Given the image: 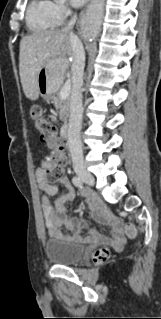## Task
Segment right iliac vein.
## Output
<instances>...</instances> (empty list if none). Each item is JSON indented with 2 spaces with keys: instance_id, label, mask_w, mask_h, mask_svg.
I'll list each match as a JSON object with an SVG mask.
<instances>
[{
  "instance_id": "obj_1",
  "label": "right iliac vein",
  "mask_w": 161,
  "mask_h": 319,
  "mask_svg": "<svg viewBox=\"0 0 161 319\" xmlns=\"http://www.w3.org/2000/svg\"><path fill=\"white\" fill-rule=\"evenodd\" d=\"M76 173L82 181H84L85 183L89 185H94V178L90 174V172L84 169H76Z\"/></svg>"
}]
</instances>
